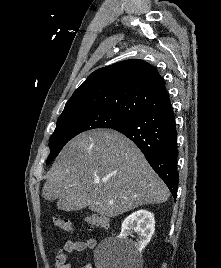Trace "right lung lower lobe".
Returning a JSON list of instances; mask_svg holds the SVG:
<instances>
[{"mask_svg":"<svg viewBox=\"0 0 221 268\" xmlns=\"http://www.w3.org/2000/svg\"><path fill=\"white\" fill-rule=\"evenodd\" d=\"M111 129L121 132L141 149L176 199L179 178L177 131L171 105L122 122Z\"/></svg>","mask_w":221,"mask_h":268,"instance_id":"1","label":"right lung lower lobe"}]
</instances>
